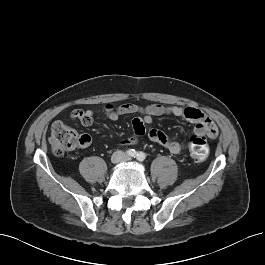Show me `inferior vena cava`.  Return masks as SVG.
<instances>
[{"label":"inferior vena cava","mask_w":265,"mask_h":265,"mask_svg":"<svg viewBox=\"0 0 265 265\" xmlns=\"http://www.w3.org/2000/svg\"><path fill=\"white\" fill-rule=\"evenodd\" d=\"M118 153L121 154L122 152L119 151ZM116 161H120V159H116Z\"/></svg>","instance_id":"602c4592"}]
</instances>
